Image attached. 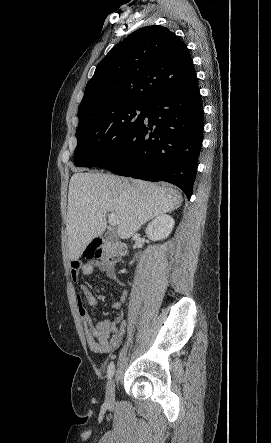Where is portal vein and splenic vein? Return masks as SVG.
Masks as SVG:
<instances>
[{
	"label": "portal vein and splenic vein",
	"instance_id": "portal-vein-and-splenic-vein-1",
	"mask_svg": "<svg viewBox=\"0 0 271 443\" xmlns=\"http://www.w3.org/2000/svg\"><path fill=\"white\" fill-rule=\"evenodd\" d=\"M108 220L110 225H118V220H116L115 214H108Z\"/></svg>",
	"mask_w": 271,
	"mask_h": 443
}]
</instances>
